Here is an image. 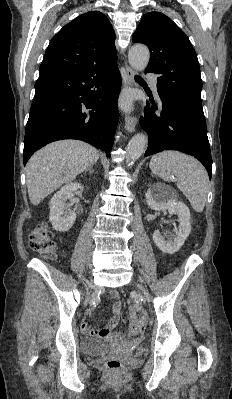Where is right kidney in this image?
Instances as JSON below:
<instances>
[{
  "label": "right kidney",
  "mask_w": 232,
  "mask_h": 399,
  "mask_svg": "<svg viewBox=\"0 0 232 399\" xmlns=\"http://www.w3.org/2000/svg\"><path fill=\"white\" fill-rule=\"evenodd\" d=\"M77 190L82 192L83 186L81 184H66L51 198L49 219L54 229L68 231L72 227L76 213L70 209L71 203H66V201L71 200Z\"/></svg>",
  "instance_id": "ca27d5eb"
}]
</instances>
